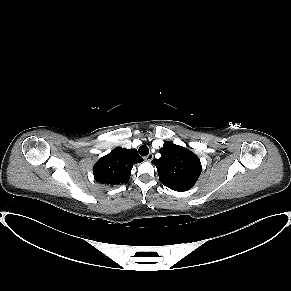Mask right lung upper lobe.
<instances>
[{
  "label": "right lung upper lobe",
  "instance_id": "right-lung-upper-lobe-1",
  "mask_svg": "<svg viewBox=\"0 0 291 291\" xmlns=\"http://www.w3.org/2000/svg\"><path fill=\"white\" fill-rule=\"evenodd\" d=\"M142 161L136 149L116 147L95 163L93 174L101 184L112 186L127 183L133 165Z\"/></svg>",
  "mask_w": 291,
  "mask_h": 291
}]
</instances>
